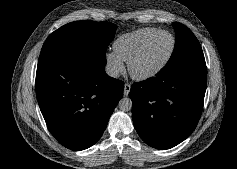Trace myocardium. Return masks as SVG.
Listing matches in <instances>:
<instances>
[{
  "label": "myocardium",
  "mask_w": 237,
  "mask_h": 169,
  "mask_svg": "<svg viewBox=\"0 0 237 169\" xmlns=\"http://www.w3.org/2000/svg\"><path fill=\"white\" fill-rule=\"evenodd\" d=\"M169 34L171 37V48L169 53L167 54V56L154 68L149 69L147 71L144 72H138L135 70V64L138 62V60L143 56V54L145 53V51L147 50V48L150 46V44L161 34ZM175 46H176V41H175V37L174 35L167 31V30H160L158 31L156 34H154L151 38H149L141 47L140 49L132 56V58L130 59V61L128 62V70L130 75L136 79V80H147L153 76H155L156 74H158L165 66L166 64L169 62V60L171 59L174 51H175Z\"/></svg>",
  "instance_id": "myocardium-1"
}]
</instances>
